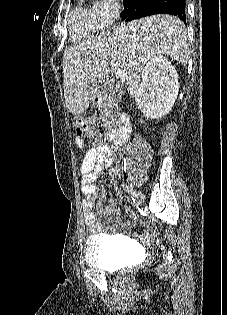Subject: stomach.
<instances>
[{
	"instance_id": "1",
	"label": "stomach",
	"mask_w": 227,
	"mask_h": 315,
	"mask_svg": "<svg viewBox=\"0 0 227 315\" xmlns=\"http://www.w3.org/2000/svg\"><path fill=\"white\" fill-rule=\"evenodd\" d=\"M90 96L92 100H95L97 96V87H92V89L90 90Z\"/></svg>"
}]
</instances>
